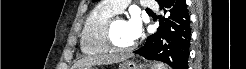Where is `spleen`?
<instances>
[{
	"label": "spleen",
	"mask_w": 246,
	"mask_h": 69,
	"mask_svg": "<svg viewBox=\"0 0 246 69\" xmlns=\"http://www.w3.org/2000/svg\"><path fill=\"white\" fill-rule=\"evenodd\" d=\"M156 67H158V69H165V68H164V65L161 64V63L157 64Z\"/></svg>",
	"instance_id": "obj_1"
}]
</instances>
